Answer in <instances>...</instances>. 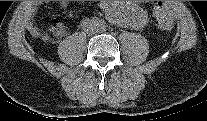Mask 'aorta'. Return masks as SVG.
<instances>
[{"label":"aorta","instance_id":"762f6f07","mask_svg":"<svg viewBox=\"0 0 207 121\" xmlns=\"http://www.w3.org/2000/svg\"><path fill=\"white\" fill-rule=\"evenodd\" d=\"M112 1V5L109 7V15L111 21L121 27H128L132 23L131 16V1ZM134 3V2H132ZM133 5V4H132Z\"/></svg>","mask_w":207,"mask_h":121}]
</instances>
